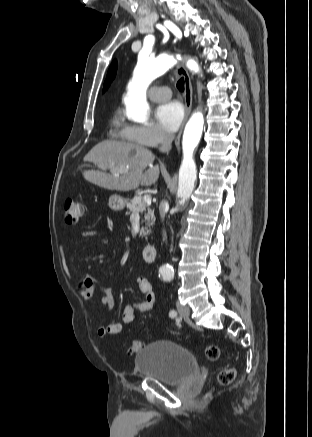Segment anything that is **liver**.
Listing matches in <instances>:
<instances>
[{
    "label": "liver",
    "mask_w": 312,
    "mask_h": 437,
    "mask_svg": "<svg viewBox=\"0 0 312 437\" xmlns=\"http://www.w3.org/2000/svg\"><path fill=\"white\" fill-rule=\"evenodd\" d=\"M154 154L134 143L105 140L95 145L84 157L100 170H85L84 178L108 190L129 191L154 184L160 174L153 166ZM110 170V174L106 172Z\"/></svg>",
    "instance_id": "6515ba94"
}]
</instances>
